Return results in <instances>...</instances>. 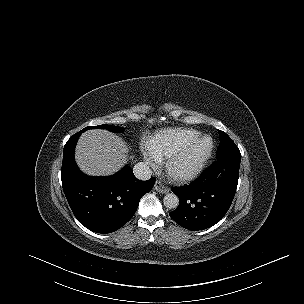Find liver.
I'll return each mask as SVG.
<instances>
[{"instance_id":"obj_1","label":"liver","mask_w":304,"mask_h":304,"mask_svg":"<svg viewBox=\"0 0 304 304\" xmlns=\"http://www.w3.org/2000/svg\"><path fill=\"white\" fill-rule=\"evenodd\" d=\"M128 146L115 134L93 129L84 132L76 146V162L91 176H109L127 163Z\"/></svg>"}]
</instances>
